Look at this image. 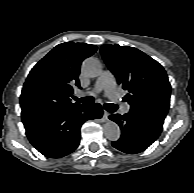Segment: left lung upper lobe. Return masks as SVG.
Wrapping results in <instances>:
<instances>
[{
	"instance_id": "5c2ea615",
	"label": "left lung upper lobe",
	"mask_w": 194,
	"mask_h": 193,
	"mask_svg": "<svg viewBox=\"0 0 194 193\" xmlns=\"http://www.w3.org/2000/svg\"><path fill=\"white\" fill-rule=\"evenodd\" d=\"M101 54L128 94L131 111L165 119L171 86L164 68L140 50L119 45H103Z\"/></svg>"
}]
</instances>
